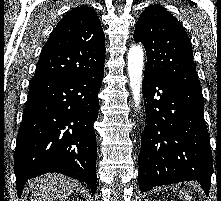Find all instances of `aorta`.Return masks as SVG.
I'll list each match as a JSON object with an SVG mask.
<instances>
[{"mask_svg": "<svg viewBox=\"0 0 221 201\" xmlns=\"http://www.w3.org/2000/svg\"><path fill=\"white\" fill-rule=\"evenodd\" d=\"M128 77L131 88L134 106L138 110L141 96L142 71L144 64V53L139 45H133L128 52Z\"/></svg>", "mask_w": 221, "mask_h": 201, "instance_id": "762f6f07", "label": "aorta"}]
</instances>
